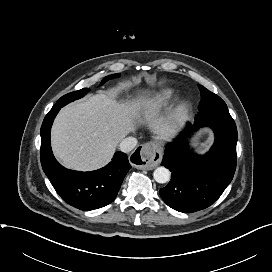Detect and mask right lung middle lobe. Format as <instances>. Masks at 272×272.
Listing matches in <instances>:
<instances>
[{
    "label": "right lung middle lobe",
    "instance_id": "dd1d6c3e",
    "mask_svg": "<svg viewBox=\"0 0 272 272\" xmlns=\"http://www.w3.org/2000/svg\"><path fill=\"white\" fill-rule=\"evenodd\" d=\"M119 76H120L119 73L107 76L102 80L100 85H103L107 80H110V79H113V78H116V77H119ZM88 91H89L88 88H83L81 90H78V91H75V92H72V93H68V94L62 96L54 106L63 107L66 104H68V103H70V102H72V101H74L76 99H79V98L83 97L84 95L87 94Z\"/></svg>",
    "mask_w": 272,
    "mask_h": 272
}]
</instances>
